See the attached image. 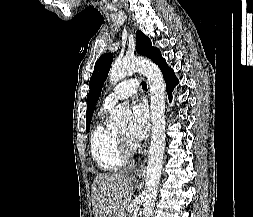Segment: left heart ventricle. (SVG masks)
<instances>
[{
    "instance_id": "left-heart-ventricle-1",
    "label": "left heart ventricle",
    "mask_w": 253,
    "mask_h": 217,
    "mask_svg": "<svg viewBox=\"0 0 253 217\" xmlns=\"http://www.w3.org/2000/svg\"><path fill=\"white\" fill-rule=\"evenodd\" d=\"M118 133L127 136L128 130H127V128H122V129H120V130L118 131Z\"/></svg>"
}]
</instances>
